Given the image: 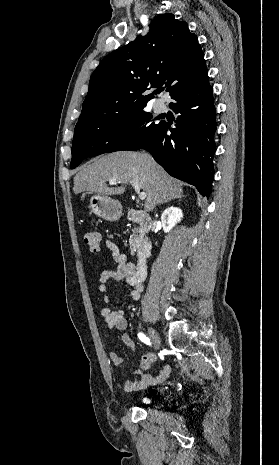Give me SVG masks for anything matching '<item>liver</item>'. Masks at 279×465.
<instances>
[{
  "label": "liver",
  "mask_w": 279,
  "mask_h": 465,
  "mask_svg": "<svg viewBox=\"0 0 279 465\" xmlns=\"http://www.w3.org/2000/svg\"><path fill=\"white\" fill-rule=\"evenodd\" d=\"M117 180L118 187H108L106 182ZM137 182L146 193L144 209L152 211L156 205L179 198L182 184L145 153L119 151L84 164L74 177V193H96L98 196L120 195L131 182Z\"/></svg>",
  "instance_id": "1"
}]
</instances>
